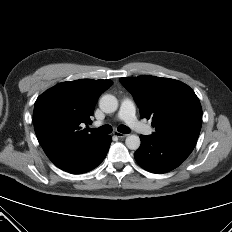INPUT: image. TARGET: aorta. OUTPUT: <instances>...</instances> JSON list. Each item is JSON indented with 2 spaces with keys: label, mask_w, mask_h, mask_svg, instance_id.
<instances>
[{
  "label": "aorta",
  "mask_w": 232,
  "mask_h": 232,
  "mask_svg": "<svg viewBox=\"0 0 232 232\" xmlns=\"http://www.w3.org/2000/svg\"><path fill=\"white\" fill-rule=\"evenodd\" d=\"M99 107L105 113H113L118 108V100L111 94L103 95L99 101ZM140 143V138L137 135H129L125 140V144L130 150H137Z\"/></svg>",
  "instance_id": "aorta-1"
}]
</instances>
